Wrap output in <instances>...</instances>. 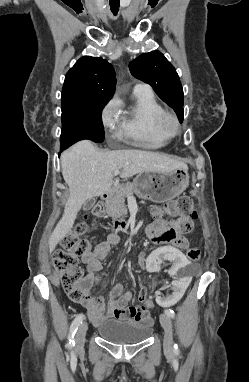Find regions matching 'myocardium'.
Masks as SVG:
<instances>
[{"mask_svg": "<svg viewBox=\"0 0 249 382\" xmlns=\"http://www.w3.org/2000/svg\"><path fill=\"white\" fill-rule=\"evenodd\" d=\"M161 124L171 137L178 135L181 131V123L178 117L169 111H164L161 117Z\"/></svg>", "mask_w": 249, "mask_h": 382, "instance_id": "myocardium-1", "label": "myocardium"}]
</instances>
